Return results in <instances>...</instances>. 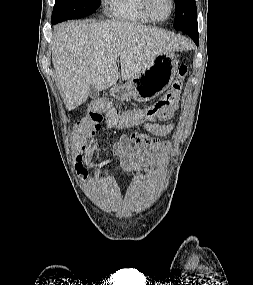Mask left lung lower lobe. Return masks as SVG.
<instances>
[{
	"label": "left lung lower lobe",
	"instance_id": "0a47b994",
	"mask_svg": "<svg viewBox=\"0 0 253 285\" xmlns=\"http://www.w3.org/2000/svg\"><path fill=\"white\" fill-rule=\"evenodd\" d=\"M184 33L188 34L193 41L195 42L196 45H198V25L195 24L194 26L184 29L183 30Z\"/></svg>",
	"mask_w": 253,
	"mask_h": 285
}]
</instances>
